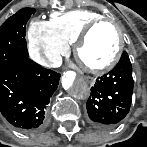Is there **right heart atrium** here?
<instances>
[{"mask_svg":"<svg viewBox=\"0 0 147 147\" xmlns=\"http://www.w3.org/2000/svg\"><path fill=\"white\" fill-rule=\"evenodd\" d=\"M27 37L31 58L43 66H55L67 49V46L52 34L48 22L45 21L33 20L29 25Z\"/></svg>","mask_w":147,"mask_h":147,"instance_id":"right-heart-atrium-1","label":"right heart atrium"}]
</instances>
